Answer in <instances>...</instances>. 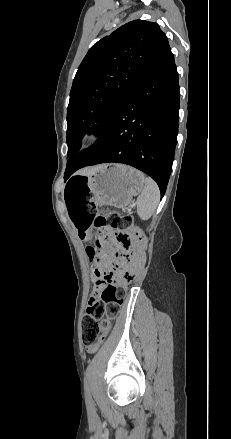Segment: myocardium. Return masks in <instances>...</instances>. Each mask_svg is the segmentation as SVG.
Returning <instances> with one entry per match:
<instances>
[{"label": "myocardium", "instance_id": "myocardium-1", "mask_svg": "<svg viewBox=\"0 0 231 439\" xmlns=\"http://www.w3.org/2000/svg\"><path fill=\"white\" fill-rule=\"evenodd\" d=\"M101 136L95 132L85 133L81 138L82 146L86 148L94 147L100 143Z\"/></svg>", "mask_w": 231, "mask_h": 439}]
</instances>
